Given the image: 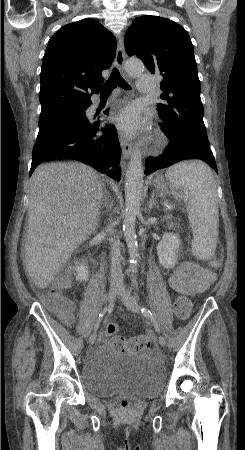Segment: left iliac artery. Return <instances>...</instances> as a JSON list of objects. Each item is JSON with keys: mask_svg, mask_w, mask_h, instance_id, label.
Listing matches in <instances>:
<instances>
[{"mask_svg": "<svg viewBox=\"0 0 245 450\" xmlns=\"http://www.w3.org/2000/svg\"><path fill=\"white\" fill-rule=\"evenodd\" d=\"M141 313L143 314V316L145 318L150 319L153 326L155 327V330L157 332H160L159 325H158L156 319L154 318V316L152 315L151 311H149L146 307H141Z\"/></svg>", "mask_w": 245, "mask_h": 450, "instance_id": "obj_1", "label": "left iliac artery"}]
</instances>
